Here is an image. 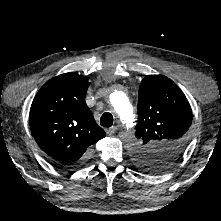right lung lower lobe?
<instances>
[{"label":"right lung lower lobe","instance_id":"obj_1","mask_svg":"<svg viewBox=\"0 0 221 221\" xmlns=\"http://www.w3.org/2000/svg\"><path fill=\"white\" fill-rule=\"evenodd\" d=\"M54 162V161H53ZM82 161L76 163V164H72V165H65V164H60V163H56L54 162L55 164L59 165L60 167H63V168H72V167H75L76 165L80 164Z\"/></svg>","mask_w":221,"mask_h":221}]
</instances>
